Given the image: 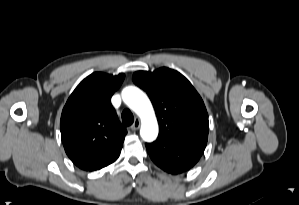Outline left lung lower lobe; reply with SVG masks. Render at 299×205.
Wrapping results in <instances>:
<instances>
[{
  "instance_id": "obj_1",
  "label": "left lung lower lobe",
  "mask_w": 299,
  "mask_h": 205,
  "mask_svg": "<svg viewBox=\"0 0 299 205\" xmlns=\"http://www.w3.org/2000/svg\"><path fill=\"white\" fill-rule=\"evenodd\" d=\"M207 143L184 139L164 138L146 143L153 162L162 170L179 174L192 168L203 154Z\"/></svg>"
}]
</instances>
